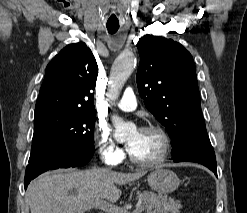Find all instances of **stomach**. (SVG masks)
Returning a JSON list of instances; mask_svg holds the SVG:
<instances>
[{
  "label": "stomach",
  "mask_w": 247,
  "mask_h": 213,
  "mask_svg": "<svg viewBox=\"0 0 247 213\" xmlns=\"http://www.w3.org/2000/svg\"><path fill=\"white\" fill-rule=\"evenodd\" d=\"M149 186L159 194L175 191L180 183L178 176L171 170L160 167L153 170L147 178Z\"/></svg>",
  "instance_id": "obj_1"
}]
</instances>
